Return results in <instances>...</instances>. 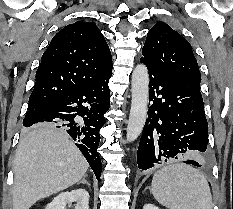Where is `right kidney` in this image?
Listing matches in <instances>:
<instances>
[{"label":"right kidney","instance_id":"ca27d5eb","mask_svg":"<svg viewBox=\"0 0 233 209\" xmlns=\"http://www.w3.org/2000/svg\"><path fill=\"white\" fill-rule=\"evenodd\" d=\"M76 202L75 209H89V193L85 189H75L56 196L45 209H66L67 204Z\"/></svg>","mask_w":233,"mask_h":209}]
</instances>
